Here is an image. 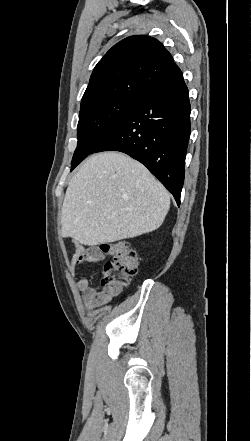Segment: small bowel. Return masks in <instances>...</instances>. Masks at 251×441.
Wrapping results in <instances>:
<instances>
[{
    "mask_svg": "<svg viewBox=\"0 0 251 441\" xmlns=\"http://www.w3.org/2000/svg\"><path fill=\"white\" fill-rule=\"evenodd\" d=\"M103 257L102 252L97 248H85L80 244H76V251L71 259L69 271L71 274H74L78 266L91 262H99L103 260ZM77 288L87 308L101 306L121 292V289H114L104 285H102L101 288H94L87 278L79 279L77 281Z\"/></svg>",
    "mask_w": 251,
    "mask_h": 441,
    "instance_id": "c3829d8e",
    "label": "small bowel"
}]
</instances>
